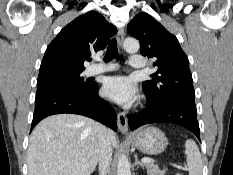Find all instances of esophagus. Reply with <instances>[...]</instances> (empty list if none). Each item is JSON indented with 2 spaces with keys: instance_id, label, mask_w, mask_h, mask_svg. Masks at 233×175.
<instances>
[{
  "instance_id": "34e87169",
  "label": "esophagus",
  "mask_w": 233,
  "mask_h": 175,
  "mask_svg": "<svg viewBox=\"0 0 233 175\" xmlns=\"http://www.w3.org/2000/svg\"><path fill=\"white\" fill-rule=\"evenodd\" d=\"M124 40V30L123 28H119L117 32V41L119 46H122ZM117 124H118V129L121 133H127L128 131V120L125 112H118L117 114Z\"/></svg>"
}]
</instances>
